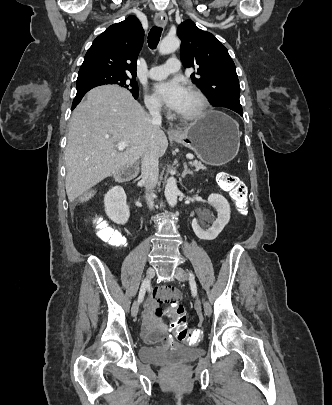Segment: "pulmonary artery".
Segmentation results:
<instances>
[{
	"label": "pulmonary artery",
	"mask_w": 332,
	"mask_h": 405,
	"mask_svg": "<svg viewBox=\"0 0 332 405\" xmlns=\"http://www.w3.org/2000/svg\"><path fill=\"white\" fill-rule=\"evenodd\" d=\"M180 69V62L177 58L172 57L164 65L154 66L149 69L148 75L151 79L160 80L170 73L177 72Z\"/></svg>",
	"instance_id": "e3ab8cb5"
}]
</instances>
